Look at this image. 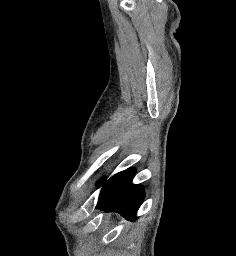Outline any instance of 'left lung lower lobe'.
<instances>
[{
	"instance_id": "left-lung-lower-lobe-1",
	"label": "left lung lower lobe",
	"mask_w": 236,
	"mask_h": 256,
	"mask_svg": "<svg viewBox=\"0 0 236 256\" xmlns=\"http://www.w3.org/2000/svg\"><path fill=\"white\" fill-rule=\"evenodd\" d=\"M134 175L135 170L129 168L106 181L96 209L105 212H117L124 218L134 221L136 212L144 198L142 186L132 184Z\"/></svg>"
}]
</instances>
